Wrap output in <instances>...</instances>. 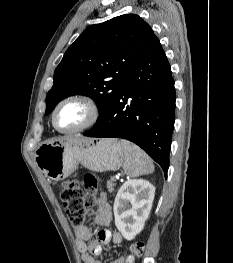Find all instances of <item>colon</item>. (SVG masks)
I'll list each match as a JSON object with an SVG mask.
<instances>
[{"label": "colon", "mask_w": 233, "mask_h": 263, "mask_svg": "<svg viewBox=\"0 0 233 263\" xmlns=\"http://www.w3.org/2000/svg\"><path fill=\"white\" fill-rule=\"evenodd\" d=\"M86 196L83 195L75 181H65L61 188V201L65 213L74 226H81L86 217L93 214V206L96 203L98 178L93 174L85 176ZM146 245L142 241H135L131 245V253L134 258H140L145 251Z\"/></svg>", "instance_id": "colon-1"}]
</instances>
